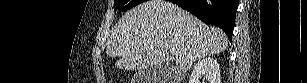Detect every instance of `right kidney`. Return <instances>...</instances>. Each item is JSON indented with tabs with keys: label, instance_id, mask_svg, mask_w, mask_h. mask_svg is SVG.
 I'll use <instances>...</instances> for the list:
<instances>
[{
	"label": "right kidney",
	"instance_id": "obj_1",
	"mask_svg": "<svg viewBox=\"0 0 307 83\" xmlns=\"http://www.w3.org/2000/svg\"><path fill=\"white\" fill-rule=\"evenodd\" d=\"M201 77L208 83H220V68L215 58L207 57L199 60L191 73L189 83H201Z\"/></svg>",
	"mask_w": 307,
	"mask_h": 83
}]
</instances>
